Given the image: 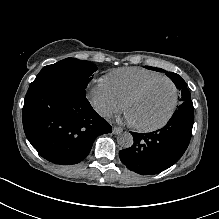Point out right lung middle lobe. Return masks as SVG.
<instances>
[{"label": "right lung middle lobe", "instance_id": "obj_1", "mask_svg": "<svg viewBox=\"0 0 219 219\" xmlns=\"http://www.w3.org/2000/svg\"><path fill=\"white\" fill-rule=\"evenodd\" d=\"M97 67L89 61L66 58L55 64L45 66L31 84L50 82L68 85L85 93L92 74Z\"/></svg>", "mask_w": 219, "mask_h": 219}]
</instances>
